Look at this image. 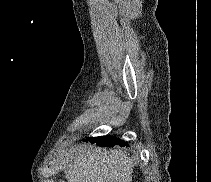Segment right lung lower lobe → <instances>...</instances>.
Segmentation results:
<instances>
[{"label": "right lung lower lobe", "instance_id": "right-lung-lower-lobe-1", "mask_svg": "<svg viewBox=\"0 0 211 182\" xmlns=\"http://www.w3.org/2000/svg\"><path fill=\"white\" fill-rule=\"evenodd\" d=\"M87 140H90V142L94 143L96 142L98 146H109L112 147L114 145H120L125 146L126 143L123 140H118L116 137H110V136H102V137H91L87 138Z\"/></svg>", "mask_w": 211, "mask_h": 182}]
</instances>
